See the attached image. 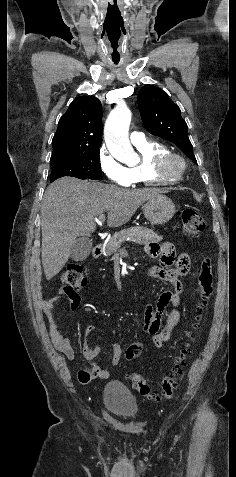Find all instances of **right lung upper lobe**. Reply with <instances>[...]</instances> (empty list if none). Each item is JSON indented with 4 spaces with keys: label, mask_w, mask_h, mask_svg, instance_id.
I'll return each mask as SVG.
<instances>
[{
    "label": "right lung upper lobe",
    "mask_w": 236,
    "mask_h": 477,
    "mask_svg": "<svg viewBox=\"0 0 236 477\" xmlns=\"http://www.w3.org/2000/svg\"><path fill=\"white\" fill-rule=\"evenodd\" d=\"M101 121L102 110L98 98H76L58 123L52 140L53 154L50 161L99 149L102 143Z\"/></svg>",
    "instance_id": "cb5924a9"
}]
</instances>
